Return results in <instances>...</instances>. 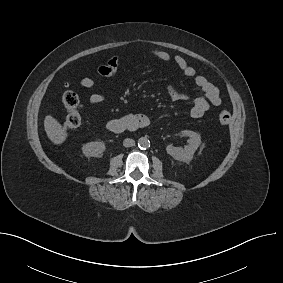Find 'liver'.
I'll use <instances>...</instances> for the list:
<instances>
[{"mask_svg": "<svg viewBox=\"0 0 283 283\" xmlns=\"http://www.w3.org/2000/svg\"><path fill=\"white\" fill-rule=\"evenodd\" d=\"M44 130L55 145H61L68 137L66 129L51 115H47L44 119Z\"/></svg>", "mask_w": 283, "mask_h": 283, "instance_id": "obj_1", "label": "liver"}]
</instances>
